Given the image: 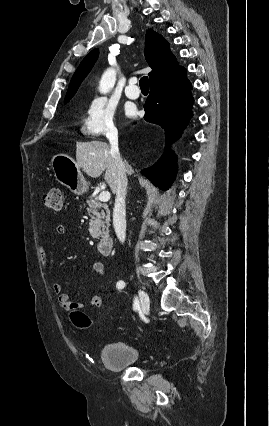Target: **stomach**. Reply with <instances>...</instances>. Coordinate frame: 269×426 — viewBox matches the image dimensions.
Here are the masks:
<instances>
[{"label": "stomach", "instance_id": "stomach-1", "mask_svg": "<svg viewBox=\"0 0 269 426\" xmlns=\"http://www.w3.org/2000/svg\"><path fill=\"white\" fill-rule=\"evenodd\" d=\"M51 169L57 182L69 188L76 195L87 192L88 184L77 163L67 154L58 153L52 156Z\"/></svg>", "mask_w": 269, "mask_h": 426}]
</instances>
